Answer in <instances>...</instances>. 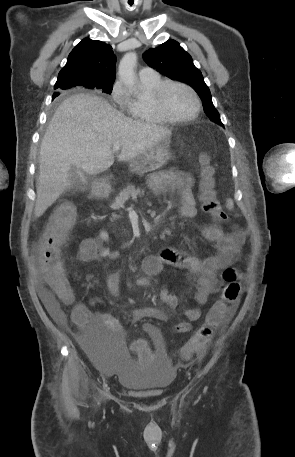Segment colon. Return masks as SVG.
<instances>
[{
	"instance_id": "obj_1",
	"label": "colon",
	"mask_w": 295,
	"mask_h": 457,
	"mask_svg": "<svg viewBox=\"0 0 295 457\" xmlns=\"http://www.w3.org/2000/svg\"><path fill=\"white\" fill-rule=\"evenodd\" d=\"M200 201L203 210L218 221L227 220L216 197L214 188V170L209 164L208 157H200ZM75 209L70 204H62L51 216L47 229L39 244V260L41 269L48 285L63 303L69 304L74 300V291L64 274L61 257V246L66 232L75 220ZM226 283L222 294L210 308L204 323L181 349L183 360L196 357L205 351L211 341L214 331L231 315L240 294V272L235 268H227L223 272ZM132 354L138 366H151L154 353L150 350L149 341H133L130 344Z\"/></svg>"
}]
</instances>
